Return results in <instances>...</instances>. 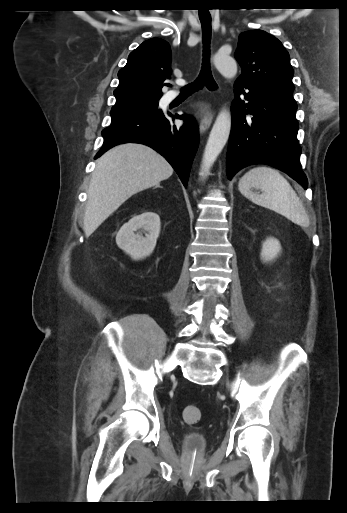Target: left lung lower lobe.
Returning <instances> with one entry per match:
<instances>
[{"instance_id": "obj_1", "label": "left lung lower lobe", "mask_w": 347, "mask_h": 513, "mask_svg": "<svg viewBox=\"0 0 347 513\" xmlns=\"http://www.w3.org/2000/svg\"><path fill=\"white\" fill-rule=\"evenodd\" d=\"M293 89L235 82L227 153L229 179L248 165L267 164L287 173L307 189V178L300 164Z\"/></svg>"}]
</instances>
